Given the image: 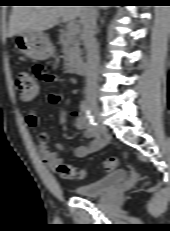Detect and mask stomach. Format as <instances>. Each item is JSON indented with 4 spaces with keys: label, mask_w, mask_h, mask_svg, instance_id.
<instances>
[{
    "label": "stomach",
    "mask_w": 170,
    "mask_h": 231,
    "mask_svg": "<svg viewBox=\"0 0 170 231\" xmlns=\"http://www.w3.org/2000/svg\"><path fill=\"white\" fill-rule=\"evenodd\" d=\"M15 47L18 51L35 60H45L54 53V47L42 31H23L15 35Z\"/></svg>",
    "instance_id": "1"
}]
</instances>
